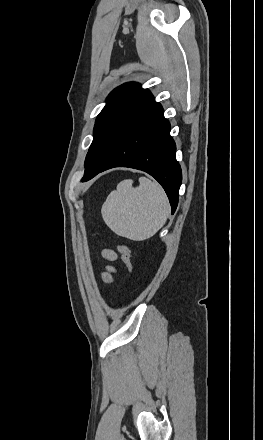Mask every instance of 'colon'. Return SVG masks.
I'll use <instances>...</instances> for the list:
<instances>
[{
  "label": "colon",
  "instance_id": "obj_1",
  "mask_svg": "<svg viewBox=\"0 0 263 440\" xmlns=\"http://www.w3.org/2000/svg\"><path fill=\"white\" fill-rule=\"evenodd\" d=\"M118 251L121 254L122 261L125 264L127 270L132 273L134 270V266L130 247L125 244H120L118 245Z\"/></svg>",
  "mask_w": 263,
  "mask_h": 440
}]
</instances>
